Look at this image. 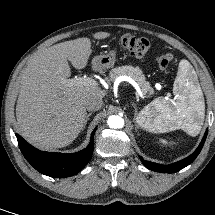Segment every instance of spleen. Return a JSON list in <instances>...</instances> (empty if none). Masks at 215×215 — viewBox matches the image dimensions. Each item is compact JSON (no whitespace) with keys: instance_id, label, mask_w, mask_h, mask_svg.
<instances>
[{"instance_id":"1","label":"spleen","mask_w":215,"mask_h":215,"mask_svg":"<svg viewBox=\"0 0 215 215\" xmlns=\"http://www.w3.org/2000/svg\"><path fill=\"white\" fill-rule=\"evenodd\" d=\"M173 99L158 97L140 111L136 120L152 133L182 129L190 136L199 134L205 117L202 90L187 60L179 63L173 85Z\"/></svg>"}]
</instances>
